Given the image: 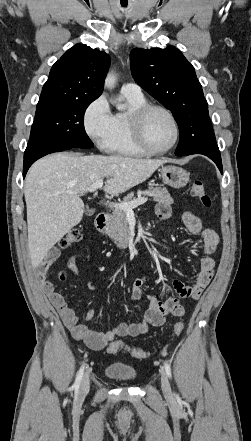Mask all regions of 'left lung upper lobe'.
I'll return each instance as SVG.
<instances>
[{"label": "left lung upper lobe", "instance_id": "left-lung-upper-lobe-1", "mask_svg": "<svg viewBox=\"0 0 251 441\" xmlns=\"http://www.w3.org/2000/svg\"><path fill=\"white\" fill-rule=\"evenodd\" d=\"M130 64L135 82L172 112L179 130L210 120L195 69L176 47L135 48Z\"/></svg>", "mask_w": 251, "mask_h": 441}]
</instances>
